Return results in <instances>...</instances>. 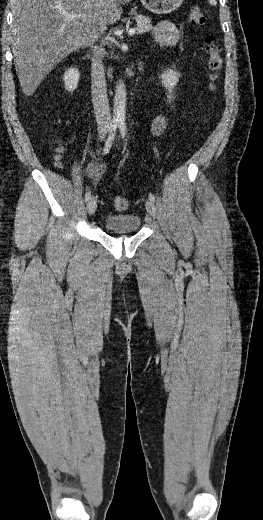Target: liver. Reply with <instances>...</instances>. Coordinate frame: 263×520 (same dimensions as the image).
I'll return each mask as SVG.
<instances>
[{"instance_id": "obj_1", "label": "liver", "mask_w": 263, "mask_h": 520, "mask_svg": "<svg viewBox=\"0 0 263 520\" xmlns=\"http://www.w3.org/2000/svg\"><path fill=\"white\" fill-rule=\"evenodd\" d=\"M130 1L14 0L11 44L23 93L31 96L57 63L118 21L120 4Z\"/></svg>"}]
</instances>
